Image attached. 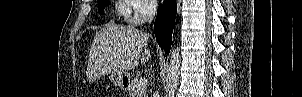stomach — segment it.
Listing matches in <instances>:
<instances>
[{"instance_id":"0dacf381","label":"stomach","mask_w":302,"mask_h":97,"mask_svg":"<svg viewBox=\"0 0 302 97\" xmlns=\"http://www.w3.org/2000/svg\"><path fill=\"white\" fill-rule=\"evenodd\" d=\"M109 79L113 85L125 88L130 81V76L127 72H113L110 74Z\"/></svg>"}]
</instances>
